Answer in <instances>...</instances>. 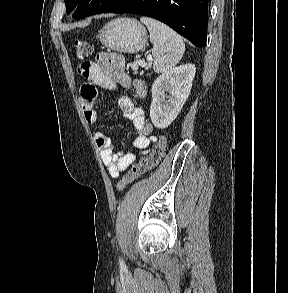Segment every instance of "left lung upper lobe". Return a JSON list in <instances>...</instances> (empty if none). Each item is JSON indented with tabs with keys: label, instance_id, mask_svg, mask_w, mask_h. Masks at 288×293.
I'll return each mask as SVG.
<instances>
[{
	"label": "left lung upper lobe",
	"instance_id": "left-lung-upper-lobe-1",
	"mask_svg": "<svg viewBox=\"0 0 288 293\" xmlns=\"http://www.w3.org/2000/svg\"><path fill=\"white\" fill-rule=\"evenodd\" d=\"M67 14L75 11L73 17L76 19L84 18L93 14L102 13L112 4L119 0H64Z\"/></svg>",
	"mask_w": 288,
	"mask_h": 293
}]
</instances>
